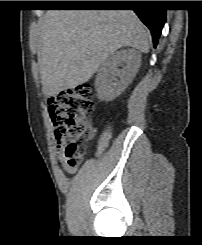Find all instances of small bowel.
Here are the masks:
<instances>
[{
  "mask_svg": "<svg viewBox=\"0 0 202 245\" xmlns=\"http://www.w3.org/2000/svg\"><path fill=\"white\" fill-rule=\"evenodd\" d=\"M49 103V109H50V112L51 114L53 113V109H54V106H55V101L53 99H49L48 101ZM56 150H57V156L59 157V159L61 161H65V158H64V155L62 153V142L61 141H58L56 143ZM66 162V161H65ZM65 171L68 173V174H73L75 173L76 171V168L75 167H71L69 165H65L64 167Z\"/></svg>",
  "mask_w": 202,
  "mask_h": 245,
  "instance_id": "1",
  "label": "small bowel"
}]
</instances>
